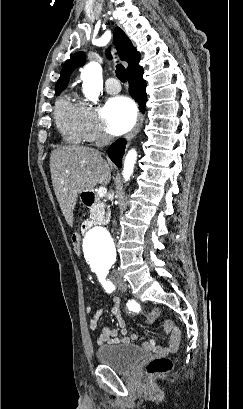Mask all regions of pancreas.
<instances>
[{"label":"pancreas","instance_id":"1","mask_svg":"<svg viewBox=\"0 0 243 409\" xmlns=\"http://www.w3.org/2000/svg\"><path fill=\"white\" fill-rule=\"evenodd\" d=\"M90 218L97 223H105L109 218V211H106L104 204L97 203L90 210Z\"/></svg>","mask_w":243,"mask_h":409}]
</instances>
